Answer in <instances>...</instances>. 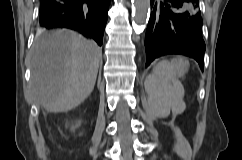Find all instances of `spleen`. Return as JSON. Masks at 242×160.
<instances>
[{
    "label": "spleen",
    "mask_w": 242,
    "mask_h": 160,
    "mask_svg": "<svg viewBox=\"0 0 242 160\" xmlns=\"http://www.w3.org/2000/svg\"><path fill=\"white\" fill-rule=\"evenodd\" d=\"M186 66V69H185ZM189 62L181 57L171 61H160L153 69L146 81L147 90L157 96V105L160 107L174 108L177 102L176 89L181 88L178 76L184 75Z\"/></svg>",
    "instance_id": "spleen-1"
}]
</instances>
